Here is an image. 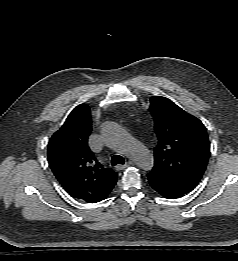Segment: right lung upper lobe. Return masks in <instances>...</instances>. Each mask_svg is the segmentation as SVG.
Instances as JSON below:
<instances>
[{
  "mask_svg": "<svg viewBox=\"0 0 238 261\" xmlns=\"http://www.w3.org/2000/svg\"><path fill=\"white\" fill-rule=\"evenodd\" d=\"M91 111L80 104L53 134L47 147L49 165L71 196L94 203L103 200L116 184L117 173L104 168L88 146Z\"/></svg>",
  "mask_w": 238,
  "mask_h": 261,
  "instance_id": "cb5924a9",
  "label": "right lung upper lobe"
}]
</instances>
